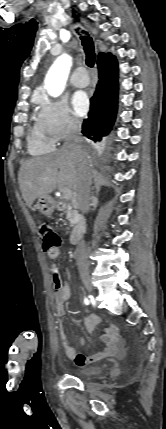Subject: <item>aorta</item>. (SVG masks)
I'll list each match as a JSON object with an SVG mask.
<instances>
[{
  "label": "aorta",
  "mask_w": 166,
  "mask_h": 429,
  "mask_svg": "<svg viewBox=\"0 0 166 429\" xmlns=\"http://www.w3.org/2000/svg\"><path fill=\"white\" fill-rule=\"evenodd\" d=\"M71 66L72 58L67 54L56 59L45 78V88L50 96L58 97L62 94Z\"/></svg>",
  "instance_id": "aorta-1"
}]
</instances>
